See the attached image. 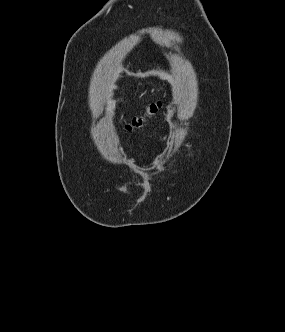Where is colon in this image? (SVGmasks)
<instances>
[{
  "label": "colon",
  "mask_w": 285,
  "mask_h": 332,
  "mask_svg": "<svg viewBox=\"0 0 285 332\" xmlns=\"http://www.w3.org/2000/svg\"><path fill=\"white\" fill-rule=\"evenodd\" d=\"M159 110V104H151L147 109L144 115L137 116L132 119L130 123L127 124V130H135L143 127L144 123L146 122L147 118L154 117Z\"/></svg>",
  "instance_id": "obj_1"
}]
</instances>
